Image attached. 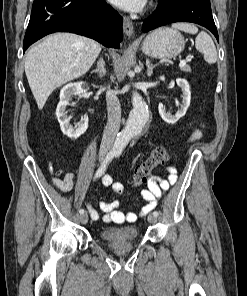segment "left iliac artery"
Returning a JSON list of instances; mask_svg holds the SVG:
<instances>
[{
    "label": "left iliac artery",
    "instance_id": "1",
    "mask_svg": "<svg viewBox=\"0 0 247 296\" xmlns=\"http://www.w3.org/2000/svg\"><path fill=\"white\" fill-rule=\"evenodd\" d=\"M120 155V153L118 152V153H116V156L118 157ZM153 215H155V216H158L159 215V212H157V211H154L153 212Z\"/></svg>",
    "mask_w": 247,
    "mask_h": 296
}]
</instances>
